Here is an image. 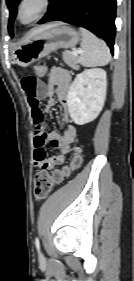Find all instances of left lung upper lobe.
Masks as SVG:
<instances>
[{"label": "left lung upper lobe", "instance_id": "1", "mask_svg": "<svg viewBox=\"0 0 134 281\" xmlns=\"http://www.w3.org/2000/svg\"><path fill=\"white\" fill-rule=\"evenodd\" d=\"M19 2H20V0H7V2H6L8 8H9V11H10L8 29H9V33H10L11 36H13L12 24L14 22V18L16 17L17 5H18Z\"/></svg>", "mask_w": 134, "mask_h": 281}]
</instances>
